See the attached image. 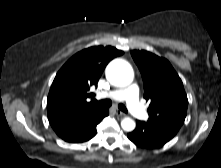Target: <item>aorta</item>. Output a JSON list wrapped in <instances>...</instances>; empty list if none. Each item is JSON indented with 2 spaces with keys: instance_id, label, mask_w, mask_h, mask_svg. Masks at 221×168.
<instances>
[{
  "instance_id": "762f6f07",
  "label": "aorta",
  "mask_w": 221,
  "mask_h": 168,
  "mask_svg": "<svg viewBox=\"0 0 221 168\" xmlns=\"http://www.w3.org/2000/svg\"><path fill=\"white\" fill-rule=\"evenodd\" d=\"M106 78L115 86L125 87L133 81L134 72L127 61L117 58L108 64L106 68ZM135 126V121L129 117H125L121 121V127L124 131H133Z\"/></svg>"
}]
</instances>
